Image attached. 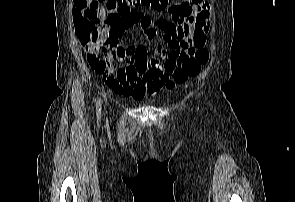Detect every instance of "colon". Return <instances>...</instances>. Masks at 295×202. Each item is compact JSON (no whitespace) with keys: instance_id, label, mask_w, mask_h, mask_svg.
Here are the masks:
<instances>
[{"instance_id":"obj_1","label":"colon","mask_w":295,"mask_h":202,"mask_svg":"<svg viewBox=\"0 0 295 202\" xmlns=\"http://www.w3.org/2000/svg\"><path fill=\"white\" fill-rule=\"evenodd\" d=\"M135 4L162 8L166 6L167 0H106L107 17L100 24L91 23L85 17L77 14L76 27L81 43L91 49L92 47H107L110 35L104 34L101 29L112 27L115 19L130 16L133 12L132 7ZM208 60L209 53L203 48L181 52L175 64L170 63L167 65L166 75L168 79L165 82L166 87L172 88L175 84H184L189 79L198 76L202 67L208 63ZM108 77L114 76L108 75Z\"/></svg>"}]
</instances>
